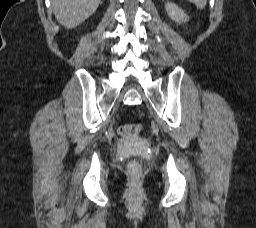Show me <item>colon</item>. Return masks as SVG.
Wrapping results in <instances>:
<instances>
[{"mask_svg":"<svg viewBox=\"0 0 256 228\" xmlns=\"http://www.w3.org/2000/svg\"><path fill=\"white\" fill-rule=\"evenodd\" d=\"M141 124L135 123V124H124L118 127L117 132L122 137H134L141 131ZM128 172L132 178V180H138L141 175V167L140 164L133 160L130 161L127 166Z\"/></svg>","mask_w":256,"mask_h":228,"instance_id":"colon-1","label":"colon"}]
</instances>
